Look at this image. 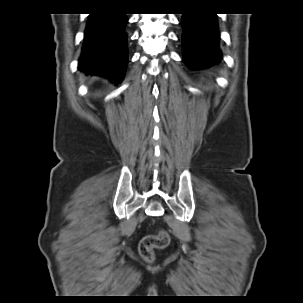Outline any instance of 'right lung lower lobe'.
Segmentation results:
<instances>
[{"instance_id":"98d812e1","label":"right lung lower lobe","mask_w":303,"mask_h":303,"mask_svg":"<svg viewBox=\"0 0 303 303\" xmlns=\"http://www.w3.org/2000/svg\"><path fill=\"white\" fill-rule=\"evenodd\" d=\"M127 22L121 13L91 14L78 68L86 74L120 82L128 61Z\"/></svg>"}]
</instances>
